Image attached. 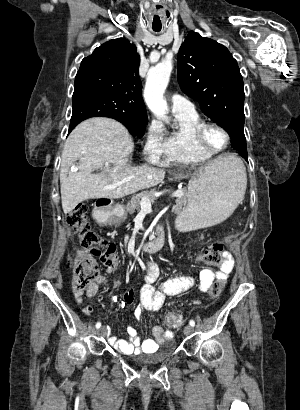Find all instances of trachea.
Returning <instances> with one entry per match:
<instances>
[{
    "mask_svg": "<svg viewBox=\"0 0 300 410\" xmlns=\"http://www.w3.org/2000/svg\"><path fill=\"white\" fill-rule=\"evenodd\" d=\"M155 32H159L160 30L159 29H157V30H154Z\"/></svg>",
    "mask_w": 300,
    "mask_h": 410,
    "instance_id": "1",
    "label": "trachea"
}]
</instances>
